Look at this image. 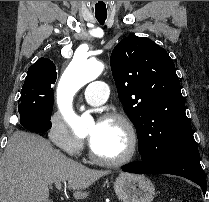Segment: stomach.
I'll use <instances>...</instances> for the list:
<instances>
[{"mask_svg": "<svg viewBox=\"0 0 209 202\" xmlns=\"http://www.w3.org/2000/svg\"><path fill=\"white\" fill-rule=\"evenodd\" d=\"M114 190L122 202H152L155 195V187L147 177L130 173L116 178Z\"/></svg>", "mask_w": 209, "mask_h": 202, "instance_id": "1", "label": "stomach"}]
</instances>
